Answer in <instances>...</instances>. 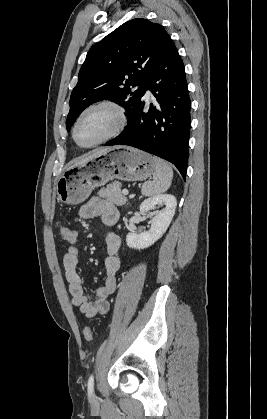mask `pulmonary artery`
Segmentation results:
<instances>
[{
    "instance_id": "e3ab8cb5",
    "label": "pulmonary artery",
    "mask_w": 267,
    "mask_h": 419,
    "mask_svg": "<svg viewBox=\"0 0 267 419\" xmlns=\"http://www.w3.org/2000/svg\"><path fill=\"white\" fill-rule=\"evenodd\" d=\"M147 94L149 95L150 94V91H147Z\"/></svg>"
}]
</instances>
